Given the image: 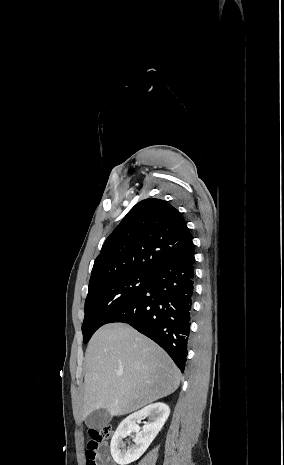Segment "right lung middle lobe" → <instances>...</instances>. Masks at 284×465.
Segmentation results:
<instances>
[{
    "mask_svg": "<svg viewBox=\"0 0 284 465\" xmlns=\"http://www.w3.org/2000/svg\"><path fill=\"white\" fill-rule=\"evenodd\" d=\"M152 275L127 274L89 287L82 325L83 342L116 313L126 307L148 284Z\"/></svg>",
    "mask_w": 284,
    "mask_h": 465,
    "instance_id": "dd1d6c3e",
    "label": "right lung middle lobe"
}]
</instances>
